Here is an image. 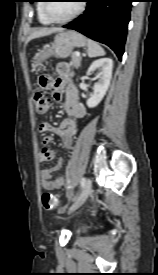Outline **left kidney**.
Here are the masks:
<instances>
[{"label": "left kidney", "mask_w": 158, "mask_h": 275, "mask_svg": "<svg viewBox=\"0 0 158 275\" xmlns=\"http://www.w3.org/2000/svg\"><path fill=\"white\" fill-rule=\"evenodd\" d=\"M112 69L113 61L110 58L98 59L90 65L87 74L90 75L93 71L99 70L101 72V76L99 81L94 85L93 94L87 100V106L89 108L97 106L105 96L110 85Z\"/></svg>", "instance_id": "1"}]
</instances>
